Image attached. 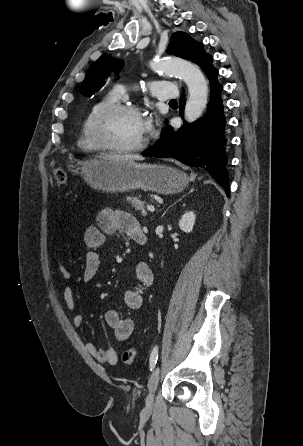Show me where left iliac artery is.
Listing matches in <instances>:
<instances>
[{
	"label": "left iliac artery",
	"instance_id": "1",
	"mask_svg": "<svg viewBox=\"0 0 303 446\" xmlns=\"http://www.w3.org/2000/svg\"><path fill=\"white\" fill-rule=\"evenodd\" d=\"M158 360V346L154 347V349L151 352V356H150V371H153V369L156 366Z\"/></svg>",
	"mask_w": 303,
	"mask_h": 446
}]
</instances>
